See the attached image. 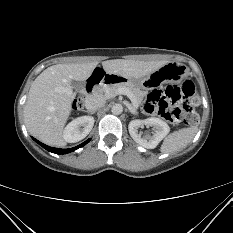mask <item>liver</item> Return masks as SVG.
<instances>
[{
	"label": "liver",
	"instance_id": "6515ba94",
	"mask_svg": "<svg viewBox=\"0 0 233 233\" xmlns=\"http://www.w3.org/2000/svg\"><path fill=\"white\" fill-rule=\"evenodd\" d=\"M167 61L114 59L102 62L107 74L139 79L150 75ZM98 62L57 64L45 69L32 83L24 106L27 130L50 146H64V126L76 97L72 81H86Z\"/></svg>",
	"mask_w": 233,
	"mask_h": 233
}]
</instances>
